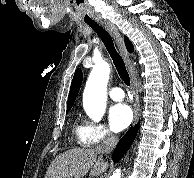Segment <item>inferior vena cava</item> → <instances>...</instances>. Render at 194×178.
Returning a JSON list of instances; mask_svg holds the SVG:
<instances>
[{
	"label": "inferior vena cava",
	"instance_id": "602c4592",
	"mask_svg": "<svg viewBox=\"0 0 194 178\" xmlns=\"http://www.w3.org/2000/svg\"><path fill=\"white\" fill-rule=\"evenodd\" d=\"M118 137L111 132H108L102 143L97 146L96 151L99 154L110 153L117 144Z\"/></svg>",
	"mask_w": 194,
	"mask_h": 178
}]
</instances>
